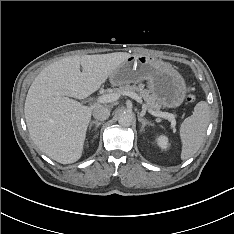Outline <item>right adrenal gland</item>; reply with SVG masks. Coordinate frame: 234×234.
Segmentation results:
<instances>
[{
  "mask_svg": "<svg viewBox=\"0 0 234 234\" xmlns=\"http://www.w3.org/2000/svg\"><path fill=\"white\" fill-rule=\"evenodd\" d=\"M101 124H102V122H99V121H97V120L92 121V122L89 124V130H91V127H92L93 125H95V129L97 130V128H98Z\"/></svg>",
  "mask_w": 234,
  "mask_h": 234,
  "instance_id": "2a0ac1e0",
  "label": "right adrenal gland"
}]
</instances>
